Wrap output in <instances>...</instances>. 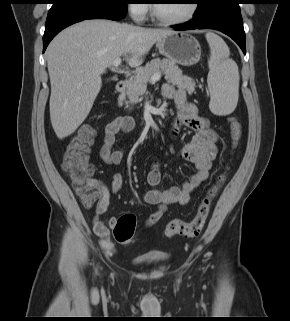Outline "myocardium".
Instances as JSON below:
<instances>
[{
	"mask_svg": "<svg viewBox=\"0 0 290 321\" xmlns=\"http://www.w3.org/2000/svg\"><path fill=\"white\" fill-rule=\"evenodd\" d=\"M190 3L191 4H190L189 12L184 17H181L178 19H164V18L160 17L156 11L155 3H152L150 5V14H151L152 19L157 24H160L163 26H177V25L185 24L196 15L197 10H198V4L196 3L195 0H192Z\"/></svg>",
	"mask_w": 290,
	"mask_h": 321,
	"instance_id": "myocardium-1",
	"label": "myocardium"
}]
</instances>
